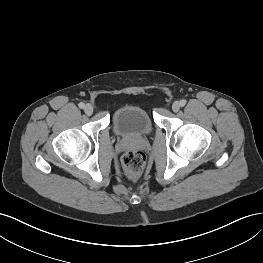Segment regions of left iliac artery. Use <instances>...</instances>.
<instances>
[{
  "label": "left iliac artery",
  "mask_w": 263,
  "mask_h": 263,
  "mask_svg": "<svg viewBox=\"0 0 263 263\" xmlns=\"http://www.w3.org/2000/svg\"><path fill=\"white\" fill-rule=\"evenodd\" d=\"M186 102H187V101H186V100H184V99H183V100H181V101H180V106H181V107L185 106Z\"/></svg>",
  "instance_id": "44dca946"
}]
</instances>
